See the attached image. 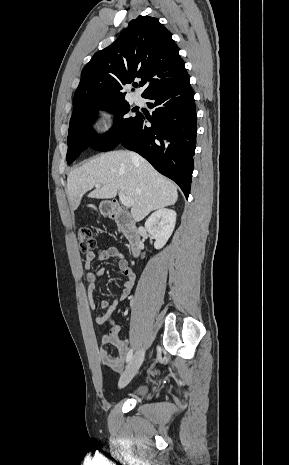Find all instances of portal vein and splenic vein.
<instances>
[{
    "mask_svg": "<svg viewBox=\"0 0 289 465\" xmlns=\"http://www.w3.org/2000/svg\"><path fill=\"white\" fill-rule=\"evenodd\" d=\"M96 186L99 187V185ZM119 199L122 205H124L126 208L132 207L133 200L130 197L126 196L124 193L119 192Z\"/></svg>",
    "mask_w": 289,
    "mask_h": 465,
    "instance_id": "obj_1",
    "label": "portal vein and splenic vein"
}]
</instances>
